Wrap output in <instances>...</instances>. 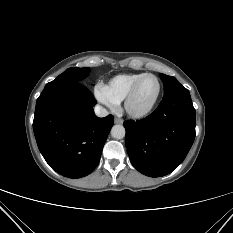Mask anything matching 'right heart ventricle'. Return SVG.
I'll use <instances>...</instances> for the list:
<instances>
[{"label": "right heart ventricle", "instance_id": "e07e8e85", "mask_svg": "<svg viewBox=\"0 0 233 233\" xmlns=\"http://www.w3.org/2000/svg\"><path fill=\"white\" fill-rule=\"evenodd\" d=\"M144 74L145 73L119 74L113 77L106 87L114 100L119 103L125 99L135 81Z\"/></svg>", "mask_w": 233, "mask_h": 233}]
</instances>
